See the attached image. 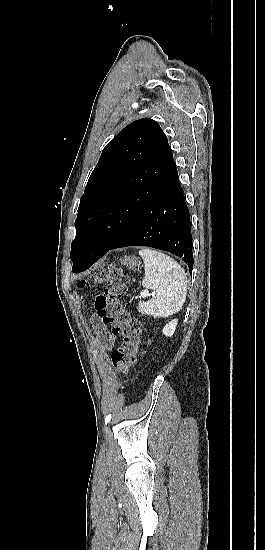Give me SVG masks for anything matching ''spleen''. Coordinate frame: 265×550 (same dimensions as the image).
I'll use <instances>...</instances> for the list:
<instances>
[{
  "label": "spleen",
  "mask_w": 265,
  "mask_h": 550,
  "mask_svg": "<svg viewBox=\"0 0 265 550\" xmlns=\"http://www.w3.org/2000/svg\"><path fill=\"white\" fill-rule=\"evenodd\" d=\"M139 255L145 265L142 285L153 290V296L147 302H140L138 310L154 318L175 314L186 300L187 277L184 269L160 251L144 248Z\"/></svg>",
  "instance_id": "1"
}]
</instances>
